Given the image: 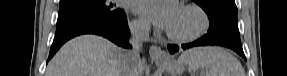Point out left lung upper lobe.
<instances>
[{
	"label": "left lung upper lobe",
	"instance_id": "5c2ea615",
	"mask_svg": "<svg viewBox=\"0 0 287 76\" xmlns=\"http://www.w3.org/2000/svg\"><path fill=\"white\" fill-rule=\"evenodd\" d=\"M207 13L210 21L208 34L233 42H241L237 7L234 0H193Z\"/></svg>",
	"mask_w": 287,
	"mask_h": 76
}]
</instances>
